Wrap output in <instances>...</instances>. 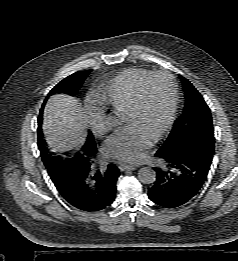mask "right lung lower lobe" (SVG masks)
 <instances>
[{
  "mask_svg": "<svg viewBox=\"0 0 238 261\" xmlns=\"http://www.w3.org/2000/svg\"><path fill=\"white\" fill-rule=\"evenodd\" d=\"M73 168L70 177L53 182L62 197L73 207L86 212L101 211L110 206L116 196L118 168L109 164L104 171H99L93 159Z\"/></svg>",
  "mask_w": 238,
  "mask_h": 261,
  "instance_id": "right-lung-lower-lobe-1",
  "label": "right lung lower lobe"
}]
</instances>
